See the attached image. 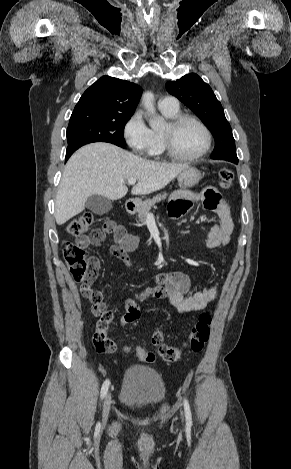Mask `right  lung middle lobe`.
I'll return each mask as SVG.
<instances>
[{
	"mask_svg": "<svg viewBox=\"0 0 291 469\" xmlns=\"http://www.w3.org/2000/svg\"><path fill=\"white\" fill-rule=\"evenodd\" d=\"M132 115L72 113L67 128L68 147L91 142H109L126 147L123 132Z\"/></svg>",
	"mask_w": 291,
	"mask_h": 469,
	"instance_id": "obj_1",
	"label": "right lung middle lobe"
}]
</instances>
